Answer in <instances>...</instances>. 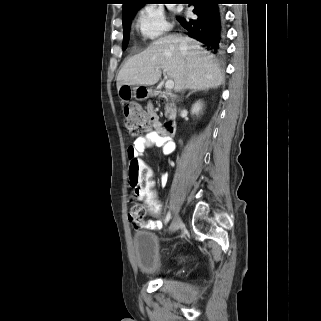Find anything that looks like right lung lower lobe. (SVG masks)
Listing matches in <instances>:
<instances>
[{
    "mask_svg": "<svg viewBox=\"0 0 321 321\" xmlns=\"http://www.w3.org/2000/svg\"><path fill=\"white\" fill-rule=\"evenodd\" d=\"M194 5L195 17L185 19L177 17L178 22L185 28L189 36L204 43L208 49L216 52L220 48L221 15L218 4L223 0H188Z\"/></svg>",
    "mask_w": 321,
    "mask_h": 321,
    "instance_id": "98d812e1",
    "label": "right lung lower lobe"
}]
</instances>
